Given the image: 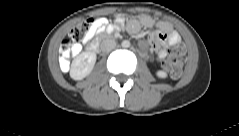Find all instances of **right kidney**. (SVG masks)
<instances>
[{
	"label": "right kidney",
	"mask_w": 239,
	"mask_h": 136,
	"mask_svg": "<svg viewBox=\"0 0 239 136\" xmlns=\"http://www.w3.org/2000/svg\"><path fill=\"white\" fill-rule=\"evenodd\" d=\"M96 62V54L93 52H82L71 64L70 76L74 80H82L88 76Z\"/></svg>",
	"instance_id": "1"
}]
</instances>
